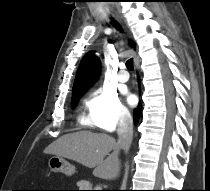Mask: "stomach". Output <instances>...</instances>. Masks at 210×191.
<instances>
[{"label": "stomach", "mask_w": 210, "mask_h": 191, "mask_svg": "<svg viewBox=\"0 0 210 191\" xmlns=\"http://www.w3.org/2000/svg\"><path fill=\"white\" fill-rule=\"evenodd\" d=\"M48 164L53 172L64 173L67 176H71L75 173V167L63 157L53 156L49 159Z\"/></svg>", "instance_id": "1"}]
</instances>
